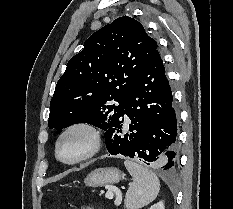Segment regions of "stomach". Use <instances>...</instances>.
Masks as SVG:
<instances>
[{
  "label": "stomach",
  "instance_id": "obj_1",
  "mask_svg": "<svg viewBox=\"0 0 233 209\" xmlns=\"http://www.w3.org/2000/svg\"><path fill=\"white\" fill-rule=\"evenodd\" d=\"M121 178L122 174L117 168H97L86 176L84 183L91 187H102L107 184L118 183Z\"/></svg>",
  "mask_w": 233,
  "mask_h": 209
}]
</instances>
